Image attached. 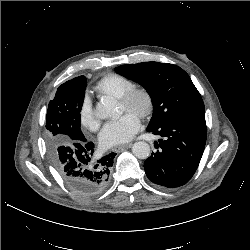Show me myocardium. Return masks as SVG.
<instances>
[{
    "label": "myocardium",
    "instance_id": "myocardium-1",
    "mask_svg": "<svg viewBox=\"0 0 250 250\" xmlns=\"http://www.w3.org/2000/svg\"><path fill=\"white\" fill-rule=\"evenodd\" d=\"M119 99L126 110L133 111L142 118L148 117L153 112V95L151 91L144 86H134Z\"/></svg>",
    "mask_w": 250,
    "mask_h": 250
}]
</instances>
